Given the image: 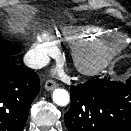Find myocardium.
<instances>
[{
  "instance_id": "f54148a6",
  "label": "myocardium",
  "mask_w": 131,
  "mask_h": 131,
  "mask_svg": "<svg viewBox=\"0 0 131 131\" xmlns=\"http://www.w3.org/2000/svg\"><path fill=\"white\" fill-rule=\"evenodd\" d=\"M126 47L127 43L119 34H109L74 44L71 60L80 73L95 75L105 69Z\"/></svg>"
}]
</instances>
